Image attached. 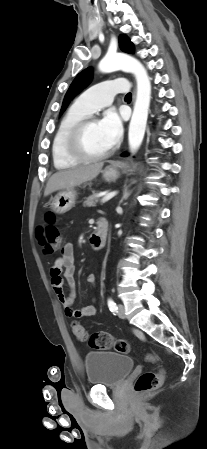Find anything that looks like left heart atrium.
Instances as JSON below:
<instances>
[{"mask_svg":"<svg viewBox=\"0 0 207 449\" xmlns=\"http://www.w3.org/2000/svg\"><path fill=\"white\" fill-rule=\"evenodd\" d=\"M99 126L110 146L115 145L119 141L123 125L120 116L115 111H108L99 122Z\"/></svg>","mask_w":207,"mask_h":449,"instance_id":"left-heart-atrium-1","label":"left heart atrium"}]
</instances>
